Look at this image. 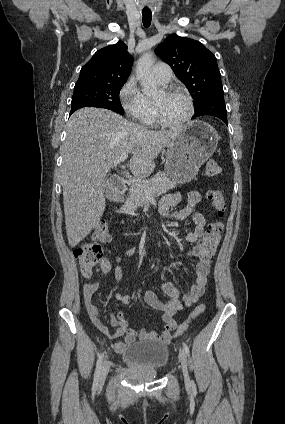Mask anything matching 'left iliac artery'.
Masks as SVG:
<instances>
[{"mask_svg": "<svg viewBox=\"0 0 285 424\" xmlns=\"http://www.w3.org/2000/svg\"><path fill=\"white\" fill-rule=\"evenodd\" d=\"M183 349H184L185 353L189 356V353H190L189 347L185 343H183Z\"/></svg>", "mask_w": 285, "mask_h": 424, "instance_id": "left-iliac-artery-1", "label": "left iliac artery"}]
</instances>
